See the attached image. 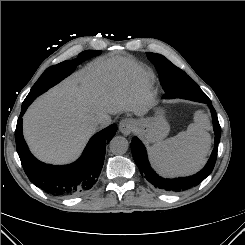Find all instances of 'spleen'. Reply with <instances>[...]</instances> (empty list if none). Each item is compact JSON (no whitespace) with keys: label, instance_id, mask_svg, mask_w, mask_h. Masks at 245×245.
<instances>
[{"label":"spleen","instance_id":"1","mask_svg":"<svg viewBox=\"0 0 245 245\" xmlns=\"http://www.w3.org/2000/svg\"><path fill=\"white\" fill-rule=\"evenodd\" d=\"M207 115L197 112L186 131L149 148L154 168L164 176L187 175L197 171L210 147Z\"/></svg>","mask_w":245,"mask_h":245}]
</instances>
